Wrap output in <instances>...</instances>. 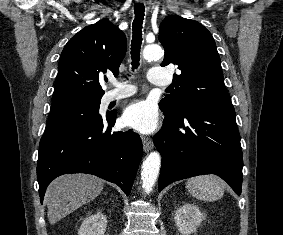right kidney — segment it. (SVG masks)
<instances>
[{"instance_id": "obj_1", "label": "right kidney", "mask_w": 283, "mask_h": 235, "mask_svg": "<svg viewBox=\"0 0 283 235\" xmlns=\"http://www.w3.org/2000/svg\"><path fill=\"white\" fill-rule=\"evenodd\" d=\"M106 227V216L102 212H98L83 220L78 235H105Z\"/></svg>"}]
</instances>
